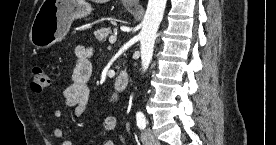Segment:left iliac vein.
I'll use <instances>...</instances> for the list:
<instances>
[{
	"mask_svg": "<svg viewBox=\"0 0 276 145\" xmlns=\"http://www.w3.org/2000/svg\"><path fill=\"white\" fill-rule=\"evenodd\" d=\"M141 139L144 145H158L159 141L154 132L150 128H146L142 134Z\"/></svg>",
	"mask_w": 276,
	"mask_h": 145,
	"instance_id": "1",
	"label": "left iliac vein"
}]
</instances>
